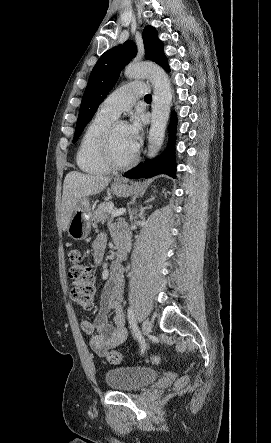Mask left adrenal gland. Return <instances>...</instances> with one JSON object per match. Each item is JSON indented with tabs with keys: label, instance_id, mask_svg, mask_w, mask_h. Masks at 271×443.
I'll return each mask as SVG.
<instances>
[{
	"label": "left adrenal gland",
	"instance_id": "left-adrenal-gland-1",
	"mask_svg": "<svg viewBox=\"0 0 271 443\" xmlns=\"http://www.w3.org/2000/svg\"><path fill=\"white\" fill-rule=\"evenodd\" d=\"M151 200H154V198H151ZM141 210H143V208H141ZM135 214H137V212H135Z\"/></svg>",
	"mask_w": 271,
	"mask_h": 443
}]
</instances>
